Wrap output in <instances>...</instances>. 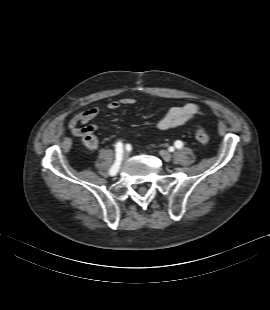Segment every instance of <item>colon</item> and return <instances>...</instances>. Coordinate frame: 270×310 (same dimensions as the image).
Segmentation results:
<instances>
[{"instance_id": "5ec220e1", "label": "colon", "mask_w": 270, "mask_h": 310, "mask_svg": "<svg viewBox=\"0 0 270 310\" xmlns=\"http://www.w3.org/2000/svg\"><path fill=\"white\" fill-rule=\"evenodd\" d=\"M195 139L198 143L206 145L209 142L210 137L206 129L199 127L195 131Z\"/></svg>"}]
</instances>
